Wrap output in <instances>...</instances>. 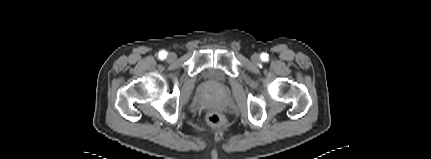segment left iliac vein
<instances>
[{"instance_id": "1", "label": "left iliac vein", "mask_w": 431, "mask_h": 159, "mask_svg": "<svg viewBox=\"0 0 431 159\" xmlns=\"http://www.w3.org/2000/svg\"><path fill=\"white\" fill-rule=\"evenodd\" d=\"M259 59L260 58H259V56L257 54H253L251 56V60H252L253 63H257L259 61Z\"/></svg>"}]
</instances>
